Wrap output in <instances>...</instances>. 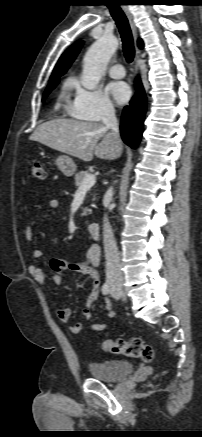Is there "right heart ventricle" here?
<instances>
[{
    "label": "right heart ventricle",
    "instance_id": "1",
    "mask_svg": "<svg viewBox=\"0 0 202 437\" xmlns=\"http://www.w3.org/2000/svg\"><path fill=\"white\" fill-rule=\"evenodd\" d=\"M71 86H72L71 83H67L63 86L60 97H59V102L65 98V96H66L68 90L71 88Z\"/></svg>",
    "mask_w": 202,
    "mask_h": 437
}]
</instances>
